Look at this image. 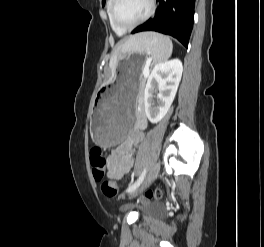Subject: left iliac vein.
I'll list each match as a JSON object with an SVG mask.
<instances>
[{"label":"left iliac vein","instance_id":"left-iliac-vein-1","mask_svg":"<svg viewBox=\"0 0 264 247\" xmlns=\"http://www.w3.org/2000/svg\"><path fill=\"white\" fill-rule=\"evenodd\" d=\"M159 171H160V163L156 162L149 170L142 185L135 192L132 193V196H136L138 193L142 192L146 187H148L156 179Z\"/></svg>","mask_w":264,"mask_h":247}]
</instances>
